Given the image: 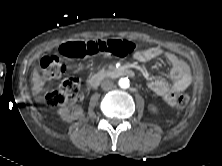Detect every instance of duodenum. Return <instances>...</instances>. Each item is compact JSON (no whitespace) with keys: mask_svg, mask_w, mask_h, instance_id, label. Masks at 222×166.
Listing matches in <instances>:
<instances>
[{"mask_svg":"<svg viewBox=\"0 0 222 166\" xmlns=\"http://www.w3.org/2000/svg\"><path fill=\"white\" fill-rule=\"evenodd\" d=\"M114 76H129L132 77L134 75V72L126 67H121L114 69L110 73ZM105 75L103 73H96L89 79V86L91 88H96L99 86L100 82L104 79Z\"/></svg>","mask_w":222,"mask_h":166,"instance_id":"410a0bca","label":"duodenum"}]
</instances>
